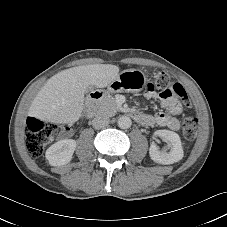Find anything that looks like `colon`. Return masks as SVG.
Here are the masks:
<instances>
[{
  "label": "colon",
  "mask_w": 227,
  "mask_h": 227,
  "mask_svg": "<svg viewBox=\"0 0 227 227\" xmlns=\"http://www.w3.org/2000/svg\"><path fill=\"white\" fill-rule=\"evenodd\" d=\"M152 83L157 85V90L171 89L186 107L191 106L184 87L179 83H173L167 73L156 72ZM182 130L186 139L193 140L197 135L198 120L192 116L184 117ZM58 133L59 127L57 125L29 117L26 121V146L29 155L33 158L40 157L45 146L51 143Z\"/></svg>",
  "instance_id": "colon-1"
}]
</instances>
